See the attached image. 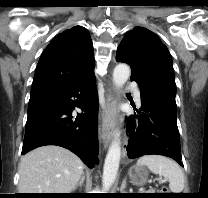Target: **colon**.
Masks as SVG:
<instances>
[{"mask_svg": "<svg viewBox=\"0 0 208 198\" xmlns=\"http://www.w3.org/2000/svg\"><path fill=\"white\" fill-rule=\"evenodd\" d=\"M166 190H168V189H167V188H163V189H162V191H166Z\"/></svg>", "mask_w": 208, "mask_h": 198, "instance_id": "5ec220e1", "label": "colon"}]
</instances>
